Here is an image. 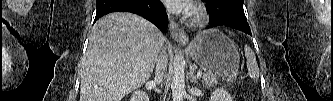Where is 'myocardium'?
<instances>
[{
    "label": "myocardium",
    "instance_id": "myocardium-1",
    "mask_svg": "<svg viewBox=\"0 0 333 101\" xmlns=\"http://www.w3.org/2000/svg\"><path fill=\"white\" fill-rule=\"evenodd\" d=\"M208 20V14L205 9L199 7L197 8L191 18V22L195 26H200L206 23Z\"/></svg>",
    "mask_w": 333,
    "mask_h": 101
}]
</instances>
